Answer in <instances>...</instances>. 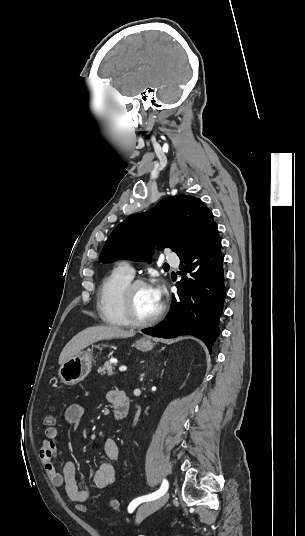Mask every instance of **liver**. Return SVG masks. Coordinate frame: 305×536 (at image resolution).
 I'll return each mask as SVG.
<instances>
[{
    "label": "liver",
    "instance_id": "liver-1",
    "mask_svg": "<svg viewBox=\"0 0 305 536\" xmlns=\"http://www.w3.org/2000/svg\"><path fill=\"white\" fill-rule=\"evenodd\" d=\"M135 336L134 332H127L117 326H94V328H86L83 332H79L77 336H74L65 348H63L58 364H64L69 358L75 356L77 352H81L87 346H91L94 342H100V340H112V338H132Z\"/></svg>",
    "mask_w": 305,
    "mask_h": 536
}]
</instances>
